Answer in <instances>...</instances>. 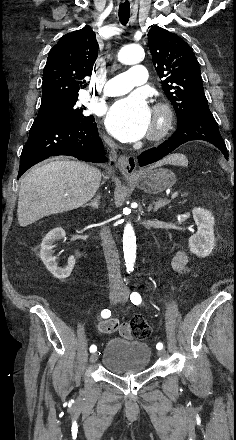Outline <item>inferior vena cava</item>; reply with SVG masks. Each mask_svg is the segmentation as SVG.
<instances>
[{"instance_id": "inferior-vena-cava-1", "label": "inferior vena cava", "mask_w": 236, "mask_h": 440, "mask_svg": "<svg viewBox=\"0 0 236 440\" xmlns=\"http://www.w3.org/2000/svg\"><path fill=\"white\" fill-rule=\"evenodd\" d=\"M105 142L112 149L111 157L116 158V145L109 139L105 138ZM110 157V158H111ZM104 255L107 263L109 282L111 288H120L124 286L120 273V260L118 250L113 240L111 231L108 227H103L100 232Z\"/></svg>"}]
</instances>
